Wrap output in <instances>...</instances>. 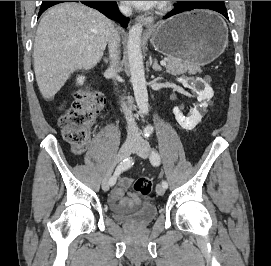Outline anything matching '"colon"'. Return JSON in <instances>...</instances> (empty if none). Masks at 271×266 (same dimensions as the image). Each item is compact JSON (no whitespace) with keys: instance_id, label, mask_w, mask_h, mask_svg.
<instances>
[{"instance_id":"5ec220e1","label":"colon","mask_w":271,"mask_h":266,"mask_svg":"<svg viewBox=\"0 0 271 266\" xmlns=\"http://www.w3.org/2000/svg\"><path fill=\"white\" fill-rule=\"evenodd\" d=\"M104 103L98 91H81L59 124L64 139L72 146L75 153H83L90 141L89 128L94 123L98 111ZM153 188L150 178L140 177L133 183L135 192L149 196Z\"/></svg>"}]
</instances>
